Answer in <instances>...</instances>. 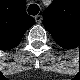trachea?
<instances>
[{
	"instance_id": "trachea-1",
	"label": "trachea",
	"mask_w": 80,
	"mask_h": 80,
	"mask_svg": "<svg viewBox=\"0 0 80 80\" xmlns=\"http://www.w3.org/2000/svg\"><path fill=\"white\" fill-rule=\"evenodd\" d=\"M40 8L37 4H31L29 7H28V13L30 15H37L38 12H39Z\"/></svg>"
}]
</instances>
